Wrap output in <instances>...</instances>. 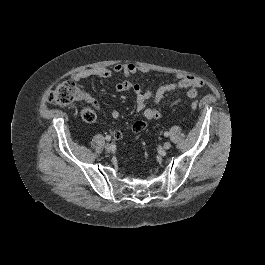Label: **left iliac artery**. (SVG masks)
<instances>
[{
    "label": "left iliac artery",
    "instance_id": "44dca946",
    "mask_svg": "<svg viewBox=\"0 0 265 265\" xmlns=\"http://www.w3.org/2000/svg\"><path fill=\"white\" fill-rule=\"evenodd\" d=\"M164 135H165L166 137H168V136H169V132H165Z\"/></svg>",
    "mask_w": 265,
    "mask_h": 265
}]
</instances>
